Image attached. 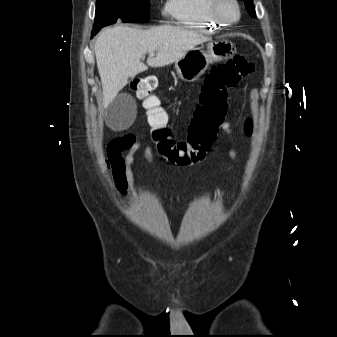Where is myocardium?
<instances>
[{"label": "myocardium", "instance_id": "myocardium-1", "mask_svg": "<svg viewBox=\"0 0 337 337\" xmlns=\"http://www.w3.org/2000/svg\"><path fill=\"white\" fill-rule=\"evenodd\" d=\"M231 5L235 9V16L231 17L226 12V6ZM212 13L214 17L227 25L235 24L241 19V5L238 0H213L212 2Z\"/></svg>", "mask_w": 337, "mask_h": 337}]
</instances>
